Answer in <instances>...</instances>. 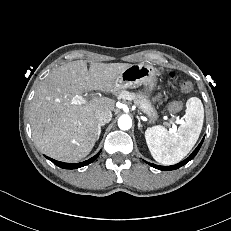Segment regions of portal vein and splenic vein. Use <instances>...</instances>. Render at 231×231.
<instances>
[{
	"instance_id": "18ae733b",
	"label": "portal vein and splenic vein",
	"mask_w": 231,
	"mask_h": 231,
	"mask_svg": "<svg viewBox=\"0 0 231 231\" xmlns=\"http://www.w3.org/2000/svg\"><path fill=\"white\" fill-rule=\"evenodd\" d=\"M85 101V98L83 96L80 95H76L75 97H73V99L71 100L72 104H82ZM175 123H181V120H176L175 122H171L172 124V128L170 129V131H175L176 130V125Z\"/></svg>"
}]
</instances>
